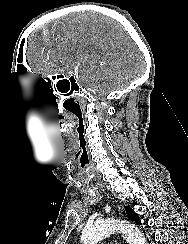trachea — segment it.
Wrapping results in <instances>:
<instances>
[{
  "mask_svg": "<svg viewBox=\"0 0 188 244\" xmlns=\"http://www.w3.org/2000/svg\"><path fill=\"white\" fill-rule=\"evenodd\" d=\"M82 186L83 188L85 189V191H87L88 193H91L92 192V184H93V181L92 180H82Z\"/></svg>",
  "mask_w": 188,
  "mask_h": 244,
  "instance_id": "1",
  "label": "trachea"
}]
</instances>
